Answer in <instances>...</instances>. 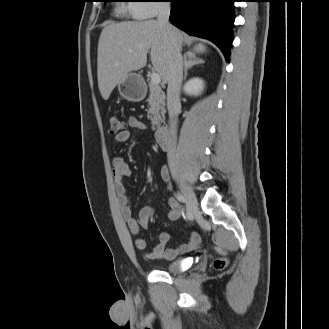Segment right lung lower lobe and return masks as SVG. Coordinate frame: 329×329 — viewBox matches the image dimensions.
<instances>
[{
	"mask_svg": "<svg viewBox=\"0 0 329 329\" xmlns=\"http://www.w3.org/2000/svg\"><path fill=\"white\" fill-rule=\"evenodd\" d=\"M170 21L189 35L215 43L229 59L236 0H169Z\"/></svg>",
	"mask_w": 329,
	"mask_h": 329,
	"instance_id": "98d812e1",
	"label": "right lung lower lobe"
}]
</instances>
